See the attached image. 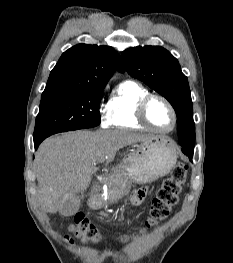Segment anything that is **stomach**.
Segmentation results:
<instances>
[{
    "instance_id": "0dacf381",
    "label": "stomach",
    "mask_w": 233,
    "mask_h": 263,
    "mask_svg": "<svg viewBox=\"0 0 233 263\" xmlns=\"http://www.w3.org/2000/svg\"><path fill=\"white\" fill-rule=\"evenodd\" d=\"M177 153L172 142L162 136H152L137 144L115 170V190L121 195L130 191L131 185L146 184L167 175L175 166ZM93 208L102 205V200H91Z\"/></svg>"
}]
</instances>
